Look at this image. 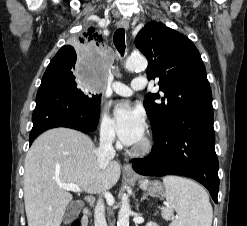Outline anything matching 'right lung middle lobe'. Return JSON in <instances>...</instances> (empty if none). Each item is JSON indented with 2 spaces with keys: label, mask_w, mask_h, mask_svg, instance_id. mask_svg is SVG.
<instances>
[{
  "label": "right lung middle lobe",
  "mask_w": 247,
  "mask_h": 226,
  "mask_svg": "<svg viewBox=\"0 0 247 226\" xmlns=\"http://www.w3.org/2000/svg\"><path fill=\"white\" fill-rule=\"evenodd\" d=\"M75 63H76V53L69 56H61L51 68L59 70L61 73L65 75V77L71 83L76 84L75 76L73 73L75 68ZM77 89L91 104H93L96 107H99L101 94L94 95L91 93H84L79 88Z\"/></svg>",
  "instance_id": "obj_1"
}]
</instances>
